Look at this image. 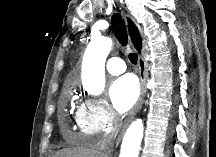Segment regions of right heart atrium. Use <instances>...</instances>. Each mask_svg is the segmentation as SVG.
<instances>
[{"label":"right heart atrium","instance_id":"1","mask_svg":"<svg viewBox=\"0 0 216 157\" xmlns=\"http://www.w3.org/2000/svg\"><path fill=\"white\" fill-rule=\"evenodd\" d=\"M75 121L82 134L101 136L113 132L119 118L106 101L87 98L78 107Z\"/></svg>","mask_w":216,"mask_h":157}]
</instances>
